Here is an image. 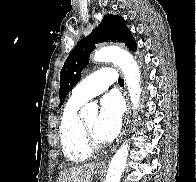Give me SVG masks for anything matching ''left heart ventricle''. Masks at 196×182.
<instances>
[{"instance_id": "1", "label": "left heart ventricle", "mask_w": 196, "mask_h": 182, "mask_svg": "<svg viewBox=\"0 0 196 182\" xmlns=\"http://www.w3.org/2000/svg\"><path fill=\"white\" fill-rule=\"evenodd\" d=\"M97 120H98L97 115H93V116H90V117H88V118L85 119V124L88 127V129L91 131V133L93 134V136L96 139L99 140V138L95 134V127H96Z\"/></svg>"}]
</instances>
